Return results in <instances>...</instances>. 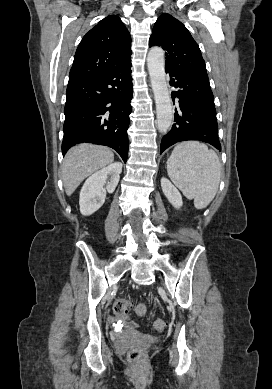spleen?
Listing matches in <instances>:
<instances>
[{
	"label": "spleen",
	"mask_w": 272,
	"mask_h": 389,
	"mask_svg": "<svg viewBox=\"0 0 272 389\" xmlns=\"http://www.w3.org/2000/svg\"><path fill=\"white\" fill-rule=\"evenodd\" d=\"M172 182L197 209L205 208L218 190L221 165L215 151L196 141L177 144L167 161Z\"/></svg>",
	"instance_id": "obj_1"
}]
</instances>
